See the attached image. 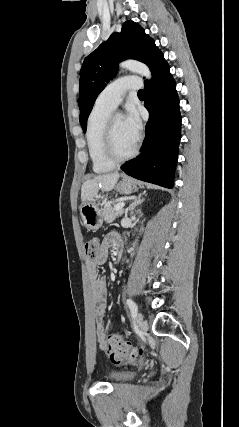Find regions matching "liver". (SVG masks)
Wrapping results in <instances>:
<instances>
[{
  "label": "liver",
  "mask_w": 239,
  "mask_h": 427,
  "mask_svg": "<svg viewBox=\"0 0 239 427\" xmlns=\"http://www.w3.org/2000/svg\"><path fill=\"white\" fill-rule=\"evenodd\" d=\"M119 173H109L95 176L93 179L87 180L81 187V200L87 202L93 200L99 189L103 191H111L117 183Z\"/></svg>",
  "instance_id": "1"
}]
</instances>
